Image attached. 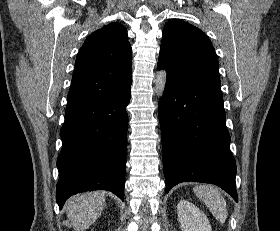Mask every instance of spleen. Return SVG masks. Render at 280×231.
I'll list each match as a JSON object with an SVG mask.
<instances>
[{"mask_svg":"<svg viewBox=\"0 0 280 231\" xmlns=\"http://www.w3.org/2000/svg\"><path fill=\"white\" fill-rule=\"evenodd\" d=\"M194 193H196L199 199L204 201L205 205L209 207L212 215L219 219L221 223H224L227 217V203L220 191L213 187V185H196L193 187Z\"/></svg>","mask_w":280,"mask_h":231,"instance_id":"spleen-1","label":"spleen"}]
</instances>
